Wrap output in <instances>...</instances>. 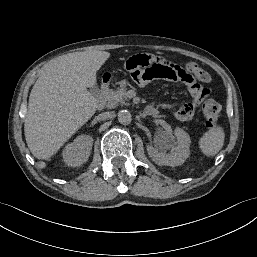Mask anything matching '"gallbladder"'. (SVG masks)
I'll list each match as a JSON object with an SVG mask.
<instances>
[{"mask_svg": "<svg viewBox=\"0 0 257 257\" xmlns=\"http://www.w3.org/2000/svg\"><path fill=\"white\" fill-rule=\"evenodd\" d=\"M90 93L94 96H98L99 95V88L97 85H94L93 87H91L89 89Z\"/></svg>", "mask_w": 257, "mask_h": 257, "instance_id": "gallbladder-1", "label": "gallbladder"}]
</instances>
